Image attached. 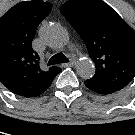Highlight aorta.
Returning a JSON list of instances; mask_svg holds the SVG:
<instances>
[{
  "instance_id": "762f6f07",
  "label": "aorta",
  "mask_w": 135,
  "mask_h": 135,
  "mask_svg": "<svg viewBox=\"0 0 135 135\" xmlns=\"http://www.w3.org/2000/svg\"><path fill=\"white\" fill-rule=\"evenodd\" d=\"M40 36L42 40L51 48L60 49L64 47L69 41L67 30L60 24L52 23L46 25ZM77 73L80 77L88 79L95 73V66L89 59H82L76 65Z\"/></svg>"
}]
</instances>
